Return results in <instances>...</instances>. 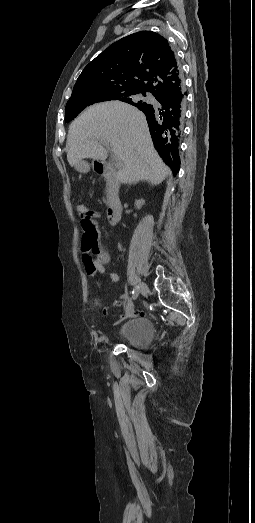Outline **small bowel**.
<instances>
[{
    "instance_id": "1",
    "label": "small bowel",
    "mask_w": 255,
    "mask_h": 523,
    "mask_svg": "<svg viewBox=\"0 0 255 523\" xmlns=\"http://www.w3.org/2000/svg\"><path fill=\"white\" fill-rule=\"evenodd\" d=\"M101 217L102 215L99 212H91V220L81 222L83 232L81 242L82 261L87 274H104L110 281L116 283L119 280V275L115 272L106 271V267L110 264L111 258L100 243L101 235L96 220ZM122 298H125V295H123Z\"/></svg>"
}]
</instances>
